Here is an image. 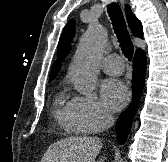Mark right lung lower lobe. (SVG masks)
<instances>
[{"label": "right lung lower lobe", "mask_w": 168, "mask_h": 162, "mask_svg": "<svg viewBox=\"0 0 168 162\" xmlns=\"http://www.w3.org/2000/svg\"><path fill=\"white\" fill-rule=\"evenodd\" d=\"M133 63V102L122 113L116 123L117 139L121 144L126 142L127 135L130 132L134 113L144 86L146 73V56L144 51L138 50L136 52Z\"/></svg>", "instance_id": "98d812e1"}]
</instances>
